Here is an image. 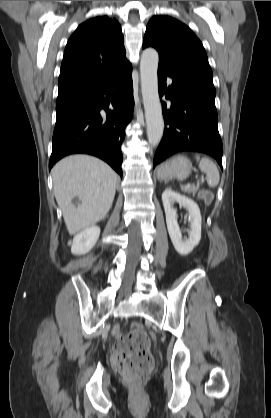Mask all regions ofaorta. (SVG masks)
<instances>
[{
	"label": "aorta",
	"mask_w": 271,
	"mask_h": 418,
	"mask_svg": "<svg viewBox=\"0 0 271 418\" xmlns=\"http://www.w3.org/2000/svg\"><path fill=\"white\" fill-rule=\"evenodd\" d=\"M159 56L153 48L142 52L140 62V78L145 119L147 124V137L151 146H157L163 136L164 120L158 93Z\"/></svg>",
	"instance_id": "aorta-1"
}]
</instances>
